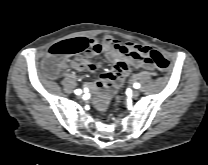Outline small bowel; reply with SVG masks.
<instances>
[{"instance_id":"c3829d8e","label":"small bowel","mask_w":208,"mask_h":165,"mask_svg":"<svg viewBox=\"0 0 208 165\" xmlns=\"http://www.w3.org/2000/svg\"><path fill=\"white\" fill-rule=\"evenodd\" d=\"M88 49L79 54L73 61H64V68H72L83 73L85 71L94 72L100 68V63L91 60V57L105 54L112 62L111 70L105 72L93 84L86 86L87 90L96 94L95 104L99 110L105 111L108 101L130 72L131 67H145L152 69V64L144 59L143 48L146 46L121 42L111 35H104L102 39L87 40Z\"/></svg>"}]
</instances>
